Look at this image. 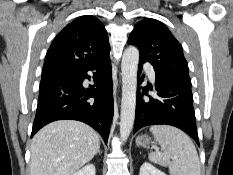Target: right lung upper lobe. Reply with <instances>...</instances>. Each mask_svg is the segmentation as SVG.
Segmentation results:
<instances>
[{
    "label": "right lung upper lobe",
    "instance_id": "obj_1",
    "mask_svg": "<svg viewBox=\"0 0 233 175\" xmlns=\"http://www.w3.org/2000/svg\"><path fill=\"white\" fill-rule=\"evenodd\" d=\"M110 44L103 24L93 16H81L53 40L43 65L42 79L69 73L108 56Z\"/></svg>",
    "mask_w": 233,
    "mask_h": 175
}]
</instances>
